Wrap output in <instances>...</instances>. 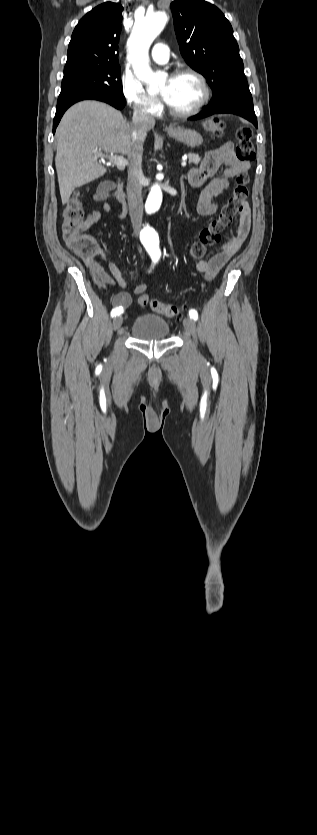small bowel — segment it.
<instances>
[{
	"label": "small bowel",
	"instance_id": "1",
	"mask_svg": "<svg viewBox=\"0 0 317 835\" xmlns=\"http://www.w3.org/2000/svg\"><path fill=\"white\" fill-rule=\"evenodd\" d=\"M249 168V162L242 161L236 157L231 143H224L218 148L208 151L202 163L198 167L190 169L187 173V181L191 186H204L198 198V213L203 216L214 214L217 207L213 203V199L229 188L232 178L240 173L246 172ZM108 197L109 194L106 191L105 183L101 184L93 195L94 200L98 202H102ZM102 208L107 213H114L113 207L108 203H104ZM100 218L101 212L96 209L92 210L84 221L86 227L89 228L98 222ZM250 225V209L248 206H245L241 211L235 234L222 246L219 253L210 259L197 262V271L202 273L208 280L212 279L241 248L248 236ZM99 260L106 264L108 271L100 264ZM83 261L95 285L110 295L112 304L115 307L122 308L123 311L132 304V294H141L148 287V284L143 282L135 286L132 290H129L120 269L109 259L107 253L102 248H97L91 257L83 258ZM114 287L121 288L122 291L112 293L111 288Z\"/></svg>",
	"mask_w": 317,
	"mask_h": 835
}]
</instances>
